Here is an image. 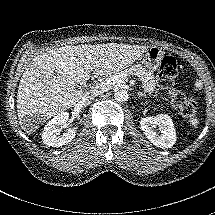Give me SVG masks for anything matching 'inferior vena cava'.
I'll list each match as a JSON object with an SVG mask.
<instances>
[{"instance_id": "obj_1", "label": "inferior vena cava", "mask_w": 215, "mask_h": 215, "mask_svg": "<svg viewBox=\"0 0 215 215\" xmlns=\"http://www.w3.org/2000/svg\"><path fill=\"white\" fill-rule=\"evenodd\" d=\"M104 92H105L104 88L91 89V90L83 93L82 101H87L89 99H93V98L103 94Z\"/></svg>"}]
</instances>
